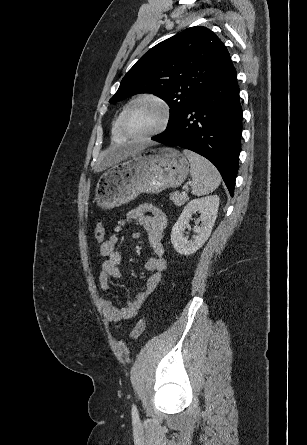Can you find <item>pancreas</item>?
Instances as JSON below:
<instances>
[{
	"label": "pancreas",
	"instance_id": "obj_1",
	"mask_svg": "<svg viewBox=\"0 0 307 445\" xmlns=\"http://www.w3.org/2000/svg\"><path fill=\"white\" fill-rule=\"evenodd\" d=\"M170 200H173L176 206H182V204H185V202L189 200V196H187V194H181V192H171Z\"/></svg>",
	"mask_w": 307,
	"mask_h": 445
}]
</instances>
